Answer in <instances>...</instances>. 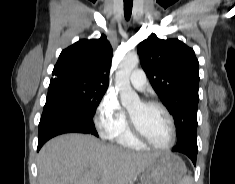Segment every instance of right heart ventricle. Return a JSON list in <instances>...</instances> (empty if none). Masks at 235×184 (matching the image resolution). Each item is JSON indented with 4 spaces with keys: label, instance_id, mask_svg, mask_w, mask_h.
<instances>
[{
    "label": "right heart ventricle",
    "instance_id": "e07e8e85",
    "mask_svg": "<svg viewBox=\"0 0 235 184\" xmlns=\"http://www.w3.org/2000/svg\"><path fill=\"white\" fill-rule=\"evenodd\" d=\"M116 148H128L131 150H142L145 145L134 138L131 129L126 126L123 131L116 138Z\"/></svg>",
    "mask_w": 235,
    "mask_h": 184
}]
</instances>
